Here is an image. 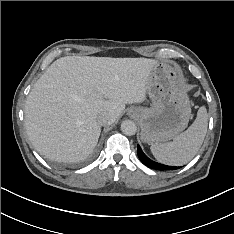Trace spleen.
Listing matches in <instances>:
<instances>
[{
    "label": "spleen",
    "mask_w": 234,
    "mask_h": 234,
    "mask_svg": "<svg viewBox=\"0 0 234 234\" xmlns=\"http://www.w3.org/2000/svg\"><path fill=\"white\" fill-rule=\"evenodd\" d=\"M208 114L205 107H200L193 124L176 136L173 141L154 144L150 147L153 156L161 163L181 166L188 163L200 149L206 132Z\"/></svg>",
    "instance_id": "spleen-1"
}]
</instances>
